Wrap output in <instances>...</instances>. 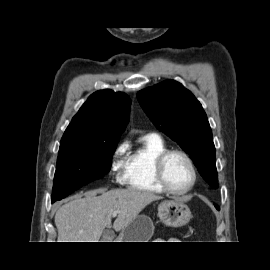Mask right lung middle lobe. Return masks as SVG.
<instances>
[{"instance_id":"dd1d6c3e","label":"right lung middle lobe","mask_w":270,"mask_h":270,"mask_svg":"<svg viewBox=\"0 0 270 270\" xmlns=\"http://www.w3.org/2000/svg\"><path fill=\"white\" fill-rule=\"evenodd\" d=\"M117 143L61 140L51 201L104 176L110 170Z\"/></svg>"}]
</instances>
